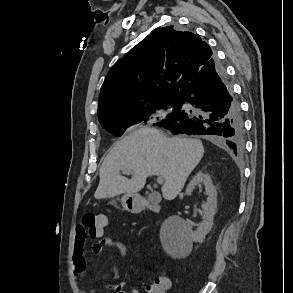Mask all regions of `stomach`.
I'll use <instances>...</instances> for the list:
<instances>
[{"label": "stomach", "instance_id": "1", "mask_svg": "<svg viewBox=\"0 0 293 293\" xmlns=\"http://www.w3.org/2000/svg\"><path fill=\"white\" fill-rule=\"evenodd\" d=\"M122 206L125 210L131 211L137 206V201L131 195H124L121 198Z\"/></svg>", "mask_w": 293, "mask_h": 293}]
</instances>
